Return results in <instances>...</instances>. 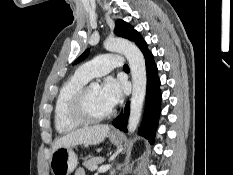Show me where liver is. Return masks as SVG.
<instances>
[{"label": "liver", "mask_w": 233, "mask_h": 175, "mask_svg": "<svg viewBox=\"0 0 233 175\" xmlns=\"http://www.w3.org/2000/svg\"><path fill=\"white\" fill-rule=\"evenodd\" d=\"M108 132V125H95L74 130L56 139L53 144V151L60 147L100 144L103 142Z\"/></svg>", "instance_id": "6515ba94"}]
</instances>
